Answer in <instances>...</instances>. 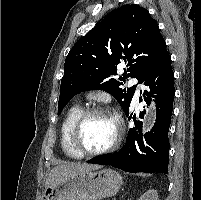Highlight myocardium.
<instances>
[{"label": "myocardium", "instance_id": "1", "mask_svg": "<svg viewBox=\"0 0 201 200\" xmlns=\"http://www.w3.org/2000/svg\"><path fill=\"white\" fill-rule=\"evenodd\" d=\"M93 115H105L112 118V120L115 122V125H116V132H115L114 139L109 145H107L106 147L100 150L89 151L81 147L80 141H79V135H80V131L84 122ZM69 139H70V144L72 148L75 150V152L79 156L94 157V156L110 153L118 147L121 140V129H120L117 117L109 109L102 106H92L82 110L80 115L77 117V119L75 120L70 130Z\"/></svg>", "mask_w": 201, "mask_h": 200}]
</instances>
